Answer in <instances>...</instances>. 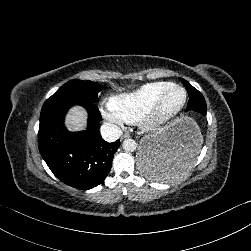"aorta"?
<instances>
[{
    "label": "aorta",
    "instance_id": "762f6f07",
    "mask_svg": "<svg viewBox=\"0 0 251 251\" xmlns=\"http://www.w3.org/2000/svg\"><path fill=\"white\" fill-rule=\"evenodd\" d=\"M122 147L127 152H133L137 148V143L133 139H125L123 141Z\"/></svg>",
    "mask_w": 251,
    "mask_h": 251
}]
</instances>
